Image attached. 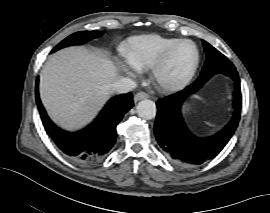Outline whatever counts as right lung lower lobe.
<instances>
[{
  "instance_id": "1",
  "label": "right lung lower lobe",
  "mask_w": 270,
  "mask_h": 213,
  "mask_svg": "<svg viewBox=\"0 0 270 213\" xmlns=\"http://www.w3.org/2000/svg\"><path fill=\"white\" fill-rule=\"evenodd\" d=\"M35 95L41 119L49 137L64 155L86 165L97 163L106 157L115 144L117 124L134 105L131 93L115 96L92 124L77 133H69L57 128L48 118L39 98L38 80Z\"/></svg>"
}]
</instances>
